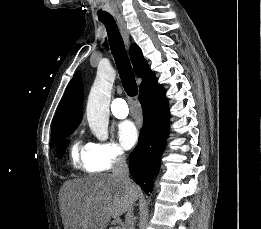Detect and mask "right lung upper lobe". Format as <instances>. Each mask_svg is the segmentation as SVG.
Wrapping results in <instances>:
<instances>
[{
  "label": "right lung upper lobe",
  "instance_id": "right-lung-upper-lobe-1",
  "mask_svg": "<svg viewBox=\"0 0 261 229\" xmlns=\"http://www.w3.org/2000/svg\"><path fill=\"white\" fill-rule=\"evenodd\" d=\"M130 57L135 72L142 78L140 84V92L157 81L154 73L150 70L146 60L144 59L140 48L136 44L130 47ZM82 100L83 88L82 79L78 74L68 84L65 93L59 103L58 109L53 119L52 129L60 125H74L82 120ZM60 142L51 135V147L56 146Z\"/></svg>",
  "mask_w": 261,
  "mask_h": 229
}]
</instances>
